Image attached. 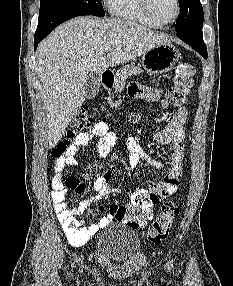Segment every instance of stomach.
Segmentation results:
<instances>
[{
  "label": "stomach",
  "instance_id": "obj_1",
  "mask_svg": "<svg viewBox=\"0 0 233 286\" xmlns=\"http://www.w3.org/2000/svg\"><path fill=\"white\" fill-rule=\"evenodd\" d=\"M179 58V51L168 41L158 44L144 53L142 65L150 75L163 74L172 70Z\"/></svg>",
  "mask_w": 233,
  "mask_h": 286
}]
</instances>
